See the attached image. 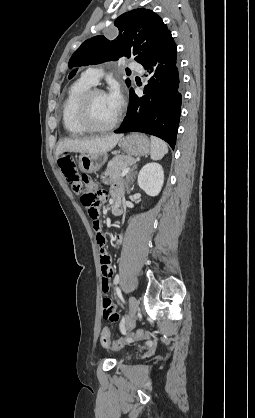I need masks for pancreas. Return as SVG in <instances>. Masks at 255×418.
Listing matches in <instances>:
<instances>
[{
  "instance_id": "1",
  "label": "pancreas",
  "mask_w": 255,
  "mask_h": 418,
  "mask_svg": "<svg viewBox=\"0 0 255 418\" xmlns=\"http://www.w3.org/2000/svg\"><path fill=\"white\" fill-rule=\"evenodd\" d=\"M135 163V158L131 156L117 155L109 161L105 174L116 183L119 180L122 171Z\"/></svg>"
}]
</instances>
